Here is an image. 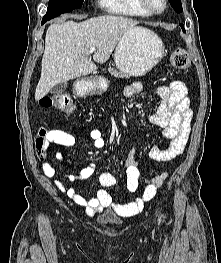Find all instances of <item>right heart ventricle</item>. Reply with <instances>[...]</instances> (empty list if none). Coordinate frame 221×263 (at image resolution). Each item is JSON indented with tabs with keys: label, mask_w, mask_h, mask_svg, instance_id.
<instances>
[{
	"label": "right heart ventricle",
	"mask_w": 221,
	"mask_h": 263,
	"mask_svg": "<svg viewBox=\"0 0 221 263\" xmlns=\"http://www.w3.org/2000/svg\"><path fill=\"white\" fill-rule=\"evenodd\" d=\"M99 3L103 9L111 14L135 17L149 15L139 0H99Z\"/></svg>",
	"instance_id": "obj_1"
}]
</instances>
